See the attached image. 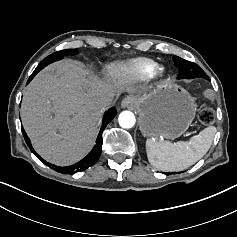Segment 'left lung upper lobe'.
<instances>
[{"instance_id": "1", "label": "left lung upper lobe", "mask_w": 237, "mask_h": 237, "mask_svg": "<svg viewBox=\"0 0 237 237\" xmlns=\"http://www.w3.org/2000/svg\"><path fill=\"white\" fill-rule=\"evenodd\" d=\"M176 67L179 69L178 79L204 78L210 81L207 74L195 63L182 59L178 56L173 57Z\"/></svg>"}]
</instances>
